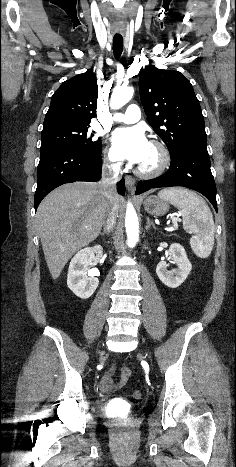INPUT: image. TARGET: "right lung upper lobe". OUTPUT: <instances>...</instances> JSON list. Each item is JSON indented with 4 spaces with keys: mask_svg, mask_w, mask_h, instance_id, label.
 Returning <instances> with one entry per match:
<instances>
[{
    "mask_svg": "<svg viewBox=\"0 0 236 467\" xmlns=\"http://www.w3.org/2000/svg\"><path fill=\"white\" fill-rule=\"evenodd\" d=\"M98 85L93 71L65 81L53 94L43 129L59 125H89L96 116Z\"/></svg>",
    "mask_w": 236,
    "mask_h": 467,
    "instance_id": "cb5924a9",
    "label": "right lung upper lobe"
}]
</instances>
